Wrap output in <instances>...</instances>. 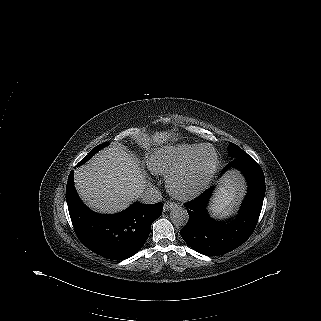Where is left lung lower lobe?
I'll return each mask as SVG.
<instances>
[{"mask_svg": "<svg viewBox=\"0 0 321 321\" xmlns=\"http://www.w3.org/2000/svg\"><path fill=\"white\" fill-rule=\"evenodd\" d=\"M230 168L239 169L247 179L248 194L239 215L230 223L218 222L209 217L206 206L214 187L184 204L189 214L182 228L183 240L195 251L207 256L228 253L243 244L254 231L265 195V178L259 164L250 156L233 159L222 173Z\"/></svg>", "mask_w": 321, "mask_h": 321, "instance_id": "obj_1", "label": "left lung lower lobe"}]
</instances>
